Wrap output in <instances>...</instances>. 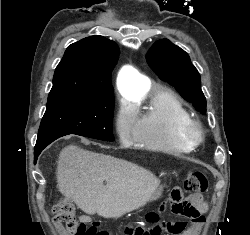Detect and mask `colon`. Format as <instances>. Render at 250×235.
Wrapping results in <instances>:
<instances>
[{"mask_svg":"<svg viewBox=\"0 0 250 235\" xmlns=\"http://www.w3.org/2000/svg\"><path fill=\"white\" fill-rule=\"evenodd\" d=\"M208 187V179L205 174L199 170L190 171L183 180L184 191L193 199L204 193ZM181 192L174 190L172 192L171 200L173 210L181 211ZM53 215L56 221L64 224L70 235H110L108 231L102 230L97 225H87L84 222L78 221L75 216V209L73 204L65 199L59 200L53 207ZM157 222V221H155ZM153 228L148 230L138 229L136 235H156L159 231L157 223ZM129 227L127 234H129Z\"/></svg>","mask_w":250,"mask_h":235,"instance_id":"5ec220e1","label":"colon"}]
</instances>
